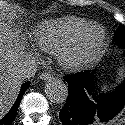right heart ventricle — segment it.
Wrapping results in <instances>:
<instances>
[{
    "label": "right heart ventricle",
    "instance_id": "e07e8e85",
    "mask_svg": "<svg viewBox=\"0 0 125 125\" xmlns=\"http://www.w3.org/2000/svg\"><path fill=\"white\" fill-rule=\"evenodd\" d=\"M88 24V21L78 17L44 22L35 29L34 45L39 51L58 53L71 37Z\"/></svg>",
    "mask_w": 125,
    "mask_h": 125
}]
</instances>
